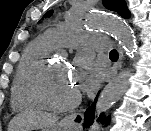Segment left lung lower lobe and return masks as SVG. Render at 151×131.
I'll return each instance as SVG.
<instances>
[{"mask_svg":"<svg viewBox=\"0 0 151 131\" xmlns=\"http://www.w3.org/2000/svg\"><path fill=\"white\" fill-rule=\"evenodd\" d=\"M96 99L92 103V105L84 113V120H83V127L84 128L89 127L92 124V122H93L94 113H95ZM102 116L103 115L101 114L99 119H98L100 122H103V120H105V118H103Z\"/></svg>","mask_w":151,"mask_h":131,"instance_id":"left-lung-lower-lobe-1","label":"left lung lower lobe"}]
</instances>
